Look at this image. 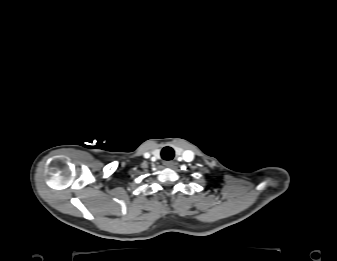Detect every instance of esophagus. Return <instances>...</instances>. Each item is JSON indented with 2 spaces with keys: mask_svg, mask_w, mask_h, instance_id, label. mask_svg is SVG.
Segmentation results:
<instances>
[{
  "mask_svg": "<svg viewBox=\"0 0 337 261\" xmlns=\"http://www.w3.org/2000/svg\"><path fill=\"white\" fill-rule=\"evenodd\" d=\"M173 161H165L164 162V165L166 166V167H172L173 166Z\"/></svg>",
  "mask_w": 337,
  "mask_h": 261,
  "instance_id": "1",
  "label": "esophagus"
}]
</instances>
